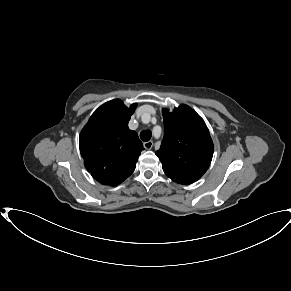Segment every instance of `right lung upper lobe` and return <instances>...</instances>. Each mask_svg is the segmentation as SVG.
<instances>
[{"label":"right lung upper lobe","mask_w":291,"mask_h":291,"mask_svg":"<svg viewBox=\"0 0 291 291\" xmlns=\"http://www.w3.org/2000/svg\"><path fill=\"white\" fill-rule=\"evenodd\" d=\"M137 104L126 107L119 99L101 105L80 133L79 146L86 169L99 183L117 186L136 167L142 150L128 122Z\"/></svg>","instance_id":"obj_1"}]
</instances>
